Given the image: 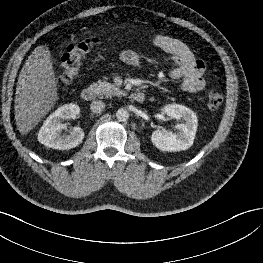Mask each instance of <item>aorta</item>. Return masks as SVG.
I'll list each match as a JSON object with an SVG mask.
<instances>
[{"label": "aorta", "instance_id": "1", "mask_svg": "<svg viewBox=\"0 0 263 263\" xmlns=\"http://www.w3.org/2000/svg\"><path fill=\"white\" fill-rule=\"evenodd\" d=\"M116 118L118 119V121L120 122H125L128 120L129 118V113L126 109L124 108H120L117 110L116 112Z\"/></svg>", "mask_w": 263, "mask_h": 263}]
</instances>
